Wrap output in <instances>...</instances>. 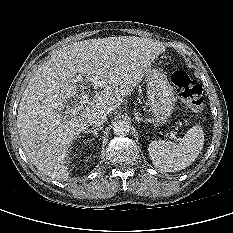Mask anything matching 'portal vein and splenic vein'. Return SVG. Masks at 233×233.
<instances>
[{"label": "portal vein and splenic vein", "instance_id": "portal-vein-and-splenic-vein-1", "mask_svg": "<svg viewBox=\"0 0 233 233\" xmlns=\"http://www.w3.org/2000/svg\"><path fill=\"white\" fill-rule=\"evenodd\" d=\"M74 81L78 82V83H82L83 77L81 75H78L74 78ZM88 101H89V96L87 93L81 95V97L79 98L80 105L75 106V107L67 106V110L65 111V113L66 114H76L77 112H79L82 109V107L84 105H86L88 103ZM170 138L178 141L177 137L173 133H170Z\"/></svg>", "mask_w": 233, "mask_h": 233}]
</instances>
